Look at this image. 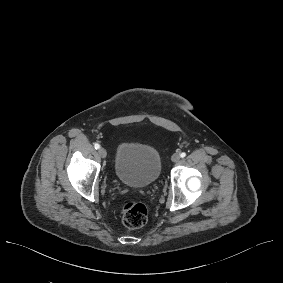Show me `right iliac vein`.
I'll return each instance as SVG.
<instances>
[{
  "label": "right iliac vein",
  "instance_id": "obj_1",
  "mask_svg": "<svg viewBox=\"0 0 283 283\" xmlns=\"http://www.w3.org/2000/svg\"><path fill=\"white\" fill-rule=\"evenodd\" d=\"M98 152H99V154L102 158H106L107 153H106V150L103 147H100Z\"/></svg>",
  "mask_w": 283,
  "mask_h": 283
}]
</instances>
